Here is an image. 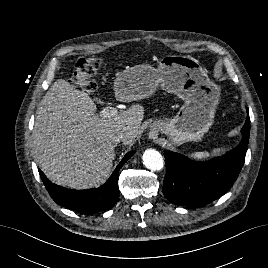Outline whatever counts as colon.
Here are the masks:
<instances>
[{
	"label": "colon",
	"instance_id": "1",
	"mask_svg": "<svg viewBox=\"0 0 268 268\" xmlns=\"http://www.w3.org/2000/svg\"><path fill=\"white\" fill-rule=\"evenodd\" d=\"M103 59L100 57L81 58L76 63V70L70 79V83L85 90L96 89V83L92 77L101 67Z\"/></svg>",
	"mask_w": 268,
	"mask_h": 268
}]
</instances>
